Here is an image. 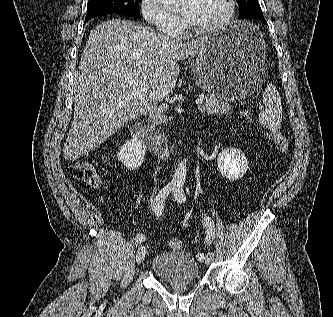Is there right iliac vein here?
Returning <instances> with one entry per match:
<instances>
[{
	"label": "right iliac vein",
	"instance_id": "1",
	"mask_svg": "<svg viewBox=\"0 0 333 317\" xmlns=\"http://www.w3.org/2000/svg\"><path fill=\"white\" fill-rule=\"evenodd\" d=\"M146 253H147V249L145 246H140L138 248L137 253H136V263L138 265L144 261Z\"/></svg>",
	"mask_w": 333,
	"mask_h": 317
}]
</instances>
